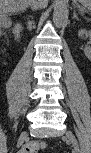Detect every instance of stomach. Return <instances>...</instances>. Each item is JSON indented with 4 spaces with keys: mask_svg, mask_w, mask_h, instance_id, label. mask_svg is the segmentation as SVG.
I'll list each match as a JSON object with an SVG mask.
<instances>
[{
    "mask_svg": "<svg viewBox=\"0 0 91 153\" xmlns=\"http://www.w3.org/2000/svg\"><path fill=\"white\" fill-rule=\"evenodd\" d=\"M81 4L84 5L85 7L89 8L91 1L90 0H80Z\"/></svg>",
    "mask_w": 91,
    "mask_h": 153,
    "instance_id": "stomach-1",
    "label": "stomach"
}]
</instances>
